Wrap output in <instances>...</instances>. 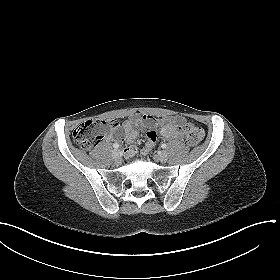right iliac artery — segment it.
I'll use <instances>...</instances> for the list:
<instances>
[{
    "mask_svg": "<svg viewBox=\"0 0 280 280\" xmlns=\"http://www.w3.org/2000/svg\"><path fill=\"white\" fill-rule=\"evenodd\" d=\"M113 147L117 149V148H119V144L114 143V144H113Z\"/></svg>",
    "mask_w": 280,
    "mask_h": 280,
    "instance_id": "right-iliac-artery-1",
    "label": "right iliac artery"
}]
</instances>
